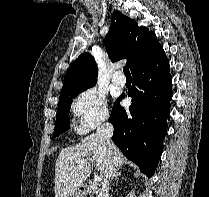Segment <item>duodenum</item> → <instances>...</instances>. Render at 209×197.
<instances>
[{"label":"duodenum","instance_id":"duodenum-1","mask_svg":"<svg viewBox=\"0 0 209 197\" xmlns=\"http://www.w3.org/2000/svg\"><path fill=\"white\" fill-rule=\"evenodd\" d=\"M82 192H83L84 194H87V193L89 192V189H88L87 187H84L83 190H82Z\"/></svg>","mask_w":209,"mask_h":197}]
</instances>
